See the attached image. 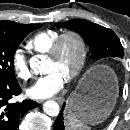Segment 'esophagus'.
Wrapping results in <instances>:
<instances>
[{"instance_id":"1","label":"esophagus","mask_w":130,"mask_h":130,"mask_svg":"<svg viewBox=\"0 0 130 130\" xmlns=\"http://www.w3.org/2000/svg\"><path fill=\"white\" fill-rule=\"evenodd\" d=\"M55 101H57L60 104L64 103V98L63 97H55L54 98ZM42 101H39V103H41Z\"/></svg>"}]
</instances>
